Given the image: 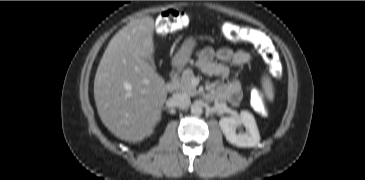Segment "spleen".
<instances>
[{
    "label": "spleen",
    "instance_id": "obj_1",
    "mask_svg": "<svg viewBox=\"0 0 365 180\" xmlns=\"http://www.w3.org/2000/svg\"><path fill=\"white\" fill-rule=\"evenodd\" d=\"M263 88H264V93L266 95V97L269 99V100H272L273 97H274V93H273V87H272V83L270 81L269 78H263Z\"/></svg>",
    "mask_w": 365,
    "mask_h": 180
}]
</instances>
